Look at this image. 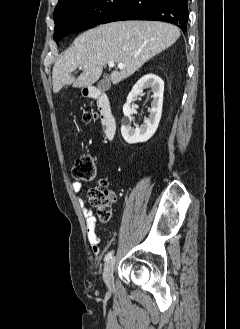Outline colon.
<instances>
[{
    "label": "colon",
    "instance_id": "1",
    "mask_svg": "<svg viewBox=\"0 0 240 329\" xmlns=\"http://www.w3.org/2000/svg\"><path fill=\"white\" fill-rule=\"evenodd\" d=\"M96 118L93 112H84L83 120L90 122ZM97 176V167L92 156L83 154L76 158L72 167V177L76 182H91ZM113 197L107 189L93 188L88 192L89 203L96 208L102 222H107L112 216L111 201Z\"/></svg>",
    "mask_w": 240,
    "mask_h": 329
}]
</instances>
